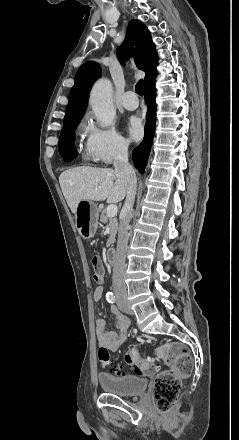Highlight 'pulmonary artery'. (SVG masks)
I'll list each match as a JSON object with an SVG mask.
<instances>
[{
  "instance_id": "obj_1",
  "label": "pulmonary artery",
  "mask_w": 239,
  "mask_h": 440,
  "mask_svg": "<svg viewBox=\"0 0 239 440\" xmlns=\"http://www.w3.org/2000/svg\"><path fill=\"white\" fill-rule=\"evenodd\" d=\"M135 92L128 91L121 98L120 105L127 110H135L138 107V103H134L128 100L129 97L134 96Z\"/></svg>"
}]
</instances>
